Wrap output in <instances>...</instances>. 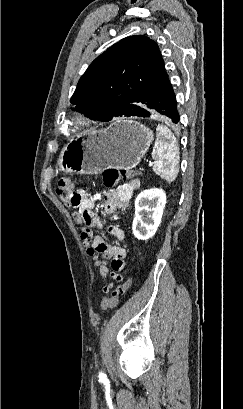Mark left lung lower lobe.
<instances>
[{
	"mask_svg": "<svg viewBox=\"0 0 243 409\" xmlns=\"http://www.w3.org/2000/svg\"><path fill=\"white\" fill-rule=\"evenodd\" d=\"M156 112L168 117L172 122L179 121L177 102L173 88L169 82L168 75L155 86L144 93L136 104L127 105L122 111L125 116L150 117ZM118 113L106 114L100 121L107 122L113 117L121 116Z\"/></svg>",
	"mask_w": 243,
	"mask_h": 409,
	"instance_id": "1",
	"label": "left lung lower lobe"
}]
</instances>
